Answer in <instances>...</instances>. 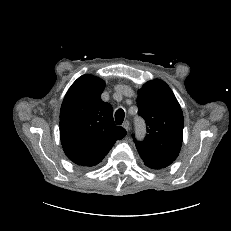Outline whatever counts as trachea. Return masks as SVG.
I'll return each instance as SVG.
<instances>
[{
    "label": "trachea",
    "mask_w": 231,
    "mask_h": 231,
    "mask_svg": "<svg viewBox=\"0 0 231 231\" xmlns=\"http://www.w3.org/2000/svg\"><path fill=\"white\" fill-rule=\"evenodd\" d=\"M125 117V113L122 109H118L115 113V121L117 125H121L123 123Z\"/></svg>",
    "instance_id": "obj_1"
}]
</instances>
